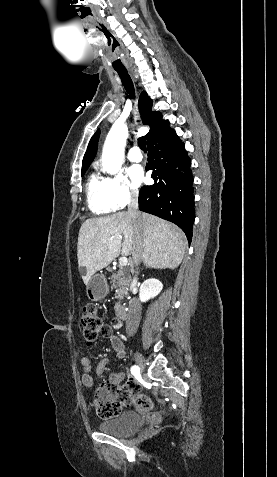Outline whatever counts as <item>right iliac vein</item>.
<instances>
[{
    "instance_id": "1",
    "label": "right iliac vein",
    "mask_w": 277,
    "mask_h": 477,
    "mask_svg": "<svg viewBox=\"0 0 277 477\" xmlns=\"http://www.w3.org/2000/svg\"><path fill=\"white\" fill-rule=\"evenodd\" d=\"M134 358H135V361H136L137 365L141 369V371H143L145 369L144 357L140 353L136 352Z\"/></svg>"
}]
</instances>
